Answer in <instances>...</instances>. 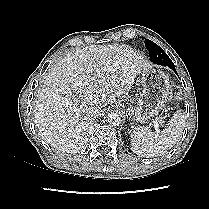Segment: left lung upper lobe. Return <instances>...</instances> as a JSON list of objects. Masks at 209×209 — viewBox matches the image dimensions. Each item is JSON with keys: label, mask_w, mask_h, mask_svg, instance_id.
I'll return each mask as SVG.
<instances>
[{"label": "left lung upper lobe", "mask_w": 209, "mask_h": 209, "mask_svg": "<svg viewBox=\"0 0 209 209\" xmlns=\"http://www.w3.org/2000/svg\"><path fill=\"white\" fill-rule=\"evenodd\" d=\"M145 46L149 51L150 60L153 63L157 65L168 66L171 69H174V64L171 59L157 44L149 39H145Z\"/></svg>", "instance_id": "obj_1"}]
</instances>
